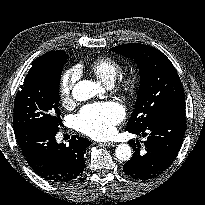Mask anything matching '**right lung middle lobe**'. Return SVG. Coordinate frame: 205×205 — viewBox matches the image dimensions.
<instances>
[{
    "mask_svg": "<svg viewBox=\"0 0 205 205\" xmlns=\"http://www.w3.org/2000/svg\"><path fill=\"white\" fill-rule=\"evenodd\" d=\"M68 57L67 55L55 63L29 70L16 95L14 129L28 127L59 129L60 76Z\"/></svg>",
    "mask_w": 205,
    "mask_h": 205,
    "instance_id": "right-lung-middle-lobe-1",
    "label": "right lung middle lobe"
}]
</instances>
